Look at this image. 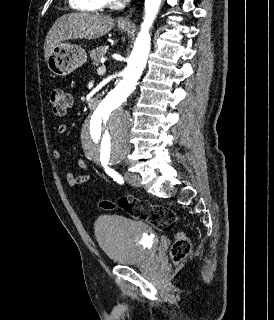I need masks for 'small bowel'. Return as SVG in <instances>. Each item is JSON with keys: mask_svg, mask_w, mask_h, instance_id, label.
Segmentation results:
<instances>
[{"mask_svg": "<svg viewBox=\"0 0 274 320\" xmlns=\"http://www.w3.org/2000/svg\"><path fill=\"white\" fill-rule=\"evenodd\" d=\"M67 131V125L66 124H60L57 127V135L62 136ZM53 157L56 160H59L62 158V150L60 147H56L53 150ZM78 167L83 171V174L81 175H75L71 171H67L65 173V178L68 186L72 189L88 182L90 180V173H89V167L85 160L83 158H79L77 161Z\"/></svg>", "mask_w": 274, "mask_h": 320, "instance_id": "1", "label": "small bowel"}]
</instances>
